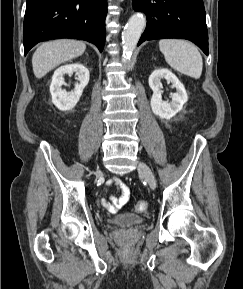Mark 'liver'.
Wrapping results in <instances>:
<instances>
[{
	"label": "liver",
	"instance_id": "6515ba94",
	"mask_svg": "<svg viewBox=\"0 0 243 289\" xmlns=\"http://www.w3.org/2000/svg\"><path fill=\"white\" fill-rule=\"evenodd\" d=\"M85 49L84 42L73 39H59L42 43L32 57L34 75L38 79L42 78L61 63L81 56Z\"/></svg>",
	"mask_w": 243,
	"mask_h": 289
}]
</instances>
